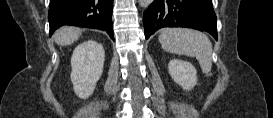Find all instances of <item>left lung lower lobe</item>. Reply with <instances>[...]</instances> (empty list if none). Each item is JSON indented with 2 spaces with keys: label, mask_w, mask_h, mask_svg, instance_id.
<instances>
[{
  "label": "left lung lower lobe",
  "mask_w": 273,
  "mask_h": 118,
  "mask_svg": "<svg viewBox=\"0 0 273 118\" xmlns=\"http://www.w3.org/2000/svg\"><path fill=\"white\" fill-rule=\"evenodd\" d=\"M143 22L146 39L163 27L194 28L217 39L212 0H154L144 12Z\"/></svg>",
  "instance_id": "1"
}]
</instances>
